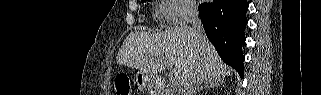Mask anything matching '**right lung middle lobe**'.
Segmentation results:
<instances>
[{
    "mask_svg": "<svg viewBox=\"0 0 321 95\" xmlns=\"http://www.w3.org/2000/svg\"><path fill=\"white\" fill-rule=\"evenodd\" d=\"M146 0H141V2H145Z\"/></svg>",
    "mask_w": 321,
    "mask_h": 95,
    "instance_id": "obj_1",
    "label": "right lung middle lobe"
}]
</instances>
